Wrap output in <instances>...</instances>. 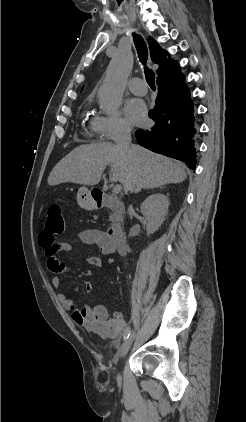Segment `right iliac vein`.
I'll return each mask as SVG.
<instances>
[{"mask_svg": "<svg viewBox=\"0 0 246 422\" xmlns=\"http://www.w3.org/2000/svg\"><path fill=\"white\" fill-rule=\"evenodd\" d=\"M135 338V332H133L131 335H129L128 338H126L123 342V344L121 345L120 348V357H125L133 340ZM117 381L120 382L121 381V377L120 375L117 376Z\"/></svg>", "mask_w": 246, "mask_h": 422, "instance_id": "1", "label": "right iliac vein"}]
</instances>
